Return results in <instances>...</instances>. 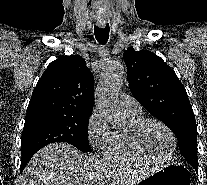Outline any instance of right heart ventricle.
<instances>
[{
	"instance_id": "right-heart-ventricle-1",
	"label": "right heart ventricle",
	"mask_w": 207,
	"mask_h": 185,
	"mask_svg": "<svg viewBox=\"0 0 207 185\" xmlns=\"http://www.w3.org/2000/svg\"><path fill=\"white\" fill-rule=\"evenodd\" d=\"M128 122L124 127L116 129L102 142V154L105 159L123 165L149 164L147 159L136 147L131 137L133 126L142 119L140 113L125 112Z\"/></svg>"
}]
</instances>
